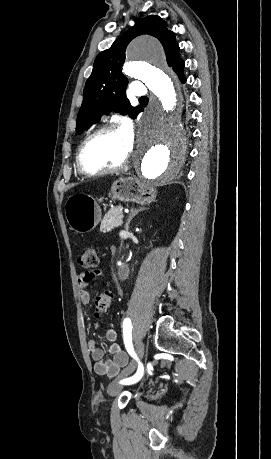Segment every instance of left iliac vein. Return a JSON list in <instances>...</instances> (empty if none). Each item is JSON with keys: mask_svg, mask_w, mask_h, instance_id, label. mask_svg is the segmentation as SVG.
Segmentation results:
<instances>
[{"mask_svg": "<svg viewBox=\"0 0 271 459\" xmlns=\"http://www.w3.org/2000/svg\"><path fill=\"white\" fill-rule=\"evenodd\" d=\"M145 347H144V343L142 340H139L137 343H136V356H137V360H133L132 362H130V364L128 365V367L121 373V377H127L129 375H131L135 369V367L137 366L136 364V361H140L143 359L144 357V352H145ZM123 385L120 383H116V382H113L109 385L108 387V395L109 396H115L117 395L121 389H122Z\"/></svg>", "mask_w": 271, "mask_h": 459, "instance_id": "obj_1", "label": "left iliac vein"}]
</instances>
